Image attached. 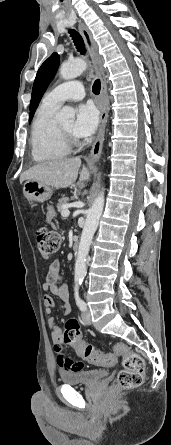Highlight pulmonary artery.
I'll list each match as a JSON object with an SVG mask.
<instances>
[{"instance_id": "obj_1", "label": "pulmonary artery", "mask_w": 171, "mask_h": 445, "mask_svg": "<svg viewBox=\"0 0 171 445\" xmlns=\"http://www.w3.org/2000/svg\"><path fill=\"white\" fill-rule=\"evenodd\" d=\"M85 96L82 83L79 81H68L57 85L45 96L44 102L52 105H61L66 101H79Z\"/></svg>"}]
</instances>
